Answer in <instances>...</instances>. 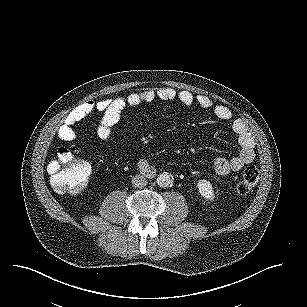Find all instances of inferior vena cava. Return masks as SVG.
Wrapping results in <instances>:
<instances>
[{"label":"inferior vena cava","instance_id":"inferior-vena-cava-1","mask_svg":"<svg viewBox=\"0 0 307 307\" xmlns=\"http://www.w3.org/2000/svg\"><path fill=\"white\" fill-rule=\"evenodd\" d=\"M132 186L135 188H144L147 185V179L140 174H136L131 179Z\"/></svg>","mask_w":307,"mask_h":307}]
</instances>
